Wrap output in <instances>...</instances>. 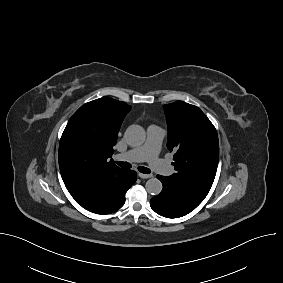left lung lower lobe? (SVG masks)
<instances>
[{"mask_svg": "<svg viewBox=\"0 0 283 283\" xmlns=\"http://www.w3.org/2000/svg\"><path fill=\"white\" fill-rule=\"evenodd\" d=\"M157 178L162 182L163 189L150 200V206L157 214L167 218L182 217L202 202L170 176L157 175Z\"/></svg>", "mask_w": 283, "mask_h": 283, "instance_id": "left-lung-lower-lobe-1", "label": "left lung lower lobe"}]
</instances>
